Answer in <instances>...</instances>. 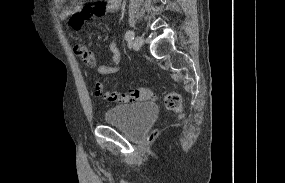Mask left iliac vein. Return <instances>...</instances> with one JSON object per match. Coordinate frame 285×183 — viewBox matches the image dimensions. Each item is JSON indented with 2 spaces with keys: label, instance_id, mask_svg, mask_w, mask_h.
<instances>
[{
  "label": "left iliac vein",
  "instance_id": "4c4485c4",
  "mask_svg": "<svg viewBox=\"0 0 285 183\" xmlns=\"http://www.w3.org/2000/svg\"><path fill=\"white\" fill-rule=\"evenodd\" d=\"M143 44V38L140 36H137L135 40L132 43V47L134 50H140Z\"/></svg>",
  "mask_w": 285,
  "mask_h": 183
}]
</instances>
